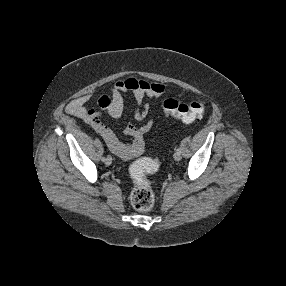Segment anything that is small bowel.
Wrapping results in <instances>:
<instances>
[{
    "label": "small bowel",
    "instance_id": "small-bowel-1",
    "mask_svg": "<svg viewBox=\"0 0 286 286\" xmlns=\"http://www.w3.org/2000/svg\"><path fill=\"white\" fill-rule=\"evenodd\" d=\"M172 88L158 82H148L141 78L127 77L118 79L112 84L107 94L101 95L97 100V108L106 111L112 118H120L124 110L123 96L131 93L137 103L135 119L144 121L149 112V104L145 99L159 98L166 92H172ZM90 95H82L73 99L67 105V112L88 123L106 142L109 150L123 160H129L139 156L144 150V135L152 128L153 121L148 120L143 125L129 124L124 134L131 140L126 144L121 142L115 133L105 125L96 109L86 104Z\"/></svg>",
    "mask_w": 286,
    "mask_h": 286
}]
</instances>
